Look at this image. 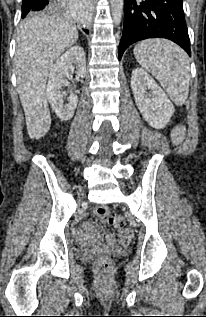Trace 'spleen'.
Instances as JSON below:
<instances>
[{
  "label": "spleen",
  "instance_id": "spleen-1",
  "mask_svg": "<svg viewBox=\"0 0 206 317\" xmlns=\"http://www.w3.org/2000/svg\"><path fill=\"white\" fill-rule=\"evenodd\" d=\"M138 63L162 85L178 106L185 103L190 85L188 55L176 44L163 39L139 42L133 50Z\"/></svg>",
  "mask_w": 206,
  "mask_h": 317
}]
</instances>
